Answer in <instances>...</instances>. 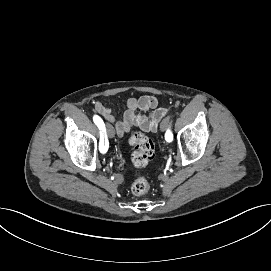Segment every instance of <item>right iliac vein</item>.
Listing matches in <instances>:
<instances>
[{"instance_id":"right-iliac-vein-1","label":"right iliac vein","mask_w":271,"mask_h":271,"mask_svg":"<svg viewBox=\"0 0 271 271\" xmlns=\"http://www.w3.org/2000/svg\"><path fill=\"white\" fill-rule=\"evenodd\" d=\"M106 129H107L108 137H109V138H113V137H114V134H115V133H114L113 127H112L111 125L107 124Z\"/></svg>"}]
</instances>
